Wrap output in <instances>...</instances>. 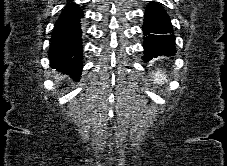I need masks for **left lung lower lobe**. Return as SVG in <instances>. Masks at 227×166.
<instances>
[{"instance_id":"left-lung-lower-lobe-1","label":"left lung lower lobe","mask_w":227,"mask_h":166,"mask_svg":"<svg viewBox=\"0 0 227 166\" xmlns=\"http://www.w3.org/2000/svg\"><path fill=\"white\" fill-rule=\"evenodd\" d=\"M145 62L157 55H172L175 51V36L170 18L162 6L151 2L145 12L144 24Z\"/></svg>"}]
</instances>
